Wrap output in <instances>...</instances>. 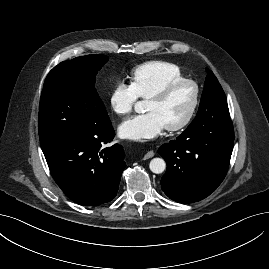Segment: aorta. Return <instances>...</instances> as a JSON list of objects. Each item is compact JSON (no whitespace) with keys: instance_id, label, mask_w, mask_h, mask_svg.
<instances>
[{"instance_id":"762f6f07","label":"aorta","mask_w":269,"mask_h":269,"mask_svg":"<svg viewBox=\"0 0 269 269\" xmlns=\"http://www.w3.org/2000/svg\"><path fill=\"white\" fill-rule=\"evenodd\" d=\"M142 109H143L142 103L137 102L135 104V111L140 113L142 111ZM149 168L153 173L161 174L164 172V170L166 168V163L162 158H154L150 161Z\"/></svg>"}]
</instances>
